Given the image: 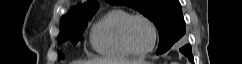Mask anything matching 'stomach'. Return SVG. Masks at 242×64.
I'll list each match as a JSON object with an SVG mask.
<instances>
[{"label": "stomach", "instance_id": "0dacf381", "mask_svg": "<svg viewBox=\"0 0 242 64\" xmlns=\"http://www.w3.org/2000/svg\"><path fill=\"white\" fill-rule=\"evenodd\" d=\"M139 64H149L148 62H145V61H142L141 63Z\"/></svg>", "mask_w": 242, "mask_h": 64}]
</instances>
